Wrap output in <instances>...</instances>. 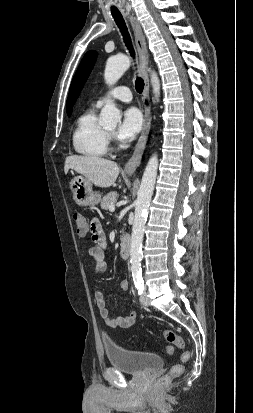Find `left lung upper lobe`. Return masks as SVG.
I'll return each instance as SVG.
<instances>
[{
  "mask_svg": "<svg viewBox=\"0 0 253 413\" xmlns=\"http://www.w3.org/2000/svg\"><path fill=\"white\" fill-rule=\"evenodd\" d=\"M97 58V52L89 51L82 59L77 72L72 80L70 92L66 103L68 116L72 113V107L75 104Z\"/></svg>",
  "mask_w": 253,
  "mask_h": 413,
  "instance_id": "left-lung-upper-lobe-1",
  "label": "left lung upper lobe"
}]
</instances>
